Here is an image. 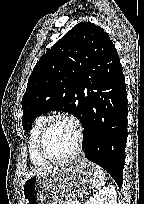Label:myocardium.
Here are the masks:
<instances>
[{"label":"myocardium","instance_id":"myocardium-1","mask_svg":"<svg viewBox=\"0 0 144 204\" xmlns=\"http://www.w3.org/2000/svg\"><path fill=\"white\" fill-rule=\"evenodd\" d=\"M57 120H66V121H69L70 123H72L75 127L76 135H77V141H76V145H75L74 150L69 155H66L63 157H54V156L50 155L46 151L45 146H44L46 134H47L50 126ZM83 142H84V129H83V126H82V123L80 122V120L71 114L58 113V114H54L52 116H49L46 119V121L44 122L43 126L41 127V129L39 131L36 146H37L38 154L44 160L51 162V163H61V162H66V161H69V160L76 158L82 151Z\"/></svg>","mask_w":144,"mask_h":204}]
</instances>
